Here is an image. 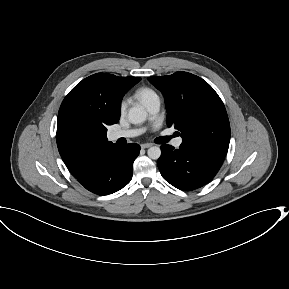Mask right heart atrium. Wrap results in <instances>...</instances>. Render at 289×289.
Returning <instances> with one entry per match:
<instances>
[{
	"label": "right heart atrium",
	"mask_w": 289,
	"mask_h": 289,
	"mask_svg": "<svg viewBox=\"0 0 289 289\" xmlns=\"http://www.w3.org/2000/svg\"><path fill=\"white\" fill-rule=\"evenodd\" d=\"M126 105H127L126 101H123V102L121 103V106H120V111H121V112H123V111L125 110Z\"/></svg>",
	"instance_id": "right-heart-atrium-1"
}]
</instances>
